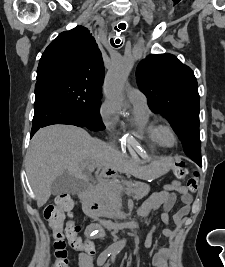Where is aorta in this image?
I'll return each mask as SVG.
<instances>
[{"mask_svg": "<svg viewBox=\"0 0 225 267\" xmlns=\"http://www.w3.org/2000/svg\"><path fill=\"white\" fill-rule=\"evenodd\" d=\"M133 60L128 57H120L115 60L105 78L104 94L107 100L117 107L124 103L123 87L133 67ZM126 244V240L113 244V248L120 251Z\"/></svg>", "mask_w": 225, "mask_h": 267, "instance_id": "aorta-1", "label": "aorta"}]
</instances>
